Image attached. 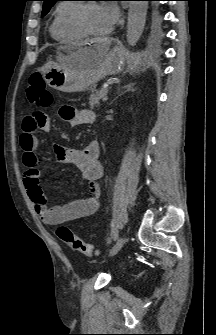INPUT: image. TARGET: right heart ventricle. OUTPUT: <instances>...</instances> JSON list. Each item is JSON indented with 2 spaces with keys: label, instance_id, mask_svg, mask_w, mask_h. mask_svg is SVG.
Wrapping results in <instances>:
<instances>
[{
  "label": "right heart ventricle",
  "instance_id": "right-heart-ventricle-1",
  "mask_svg": "<svg viewBox=\"0 0 216 335\" xmlns=\"http://www.w3.org/2000/svg\"><path fill=\"white\" fill-rule=\"evenodd\" d=\"M79 4L63 1L58 4L50 24L51 36L59 42H71L82 39L85 35L73 23V15Z\"/></svg>",
  "mask_w": 216,
  "mask_h": 335
}]
</instances>
